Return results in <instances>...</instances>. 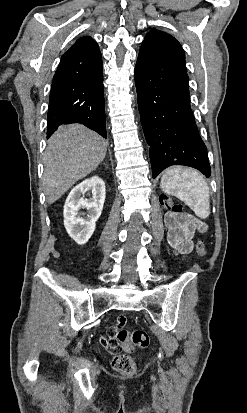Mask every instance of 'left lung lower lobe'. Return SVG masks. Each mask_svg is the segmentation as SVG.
<instances>
[{
  "label": "left lung lower lobe",
  "mask_w": 247,
  "mask_h": 413,
  "mask_svg": "<svg viewBox=\"0 0 247 413\" xmlns=\"http://www.w3.org/2000/svg\"><path fill=\"white\" fill-rule=\"evenodd\" d=\"M138 108L155 178L171 165L211 169L190 107L187 70L146 49L135 67Z\"/></svg>",
  "instance_id": "left-lung-lower-lobe-1"
}]
</instances>
